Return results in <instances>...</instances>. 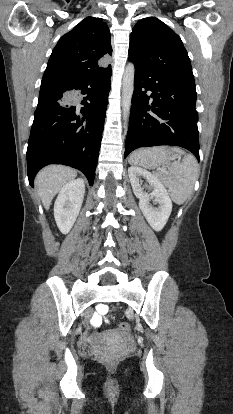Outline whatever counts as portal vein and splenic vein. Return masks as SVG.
<instances>
[{"mask_svg": "<svg viewBox=\"0 0 233 414\" xmlns=\"http://www.w3.org/2000/svg\"><path fill=\"white\" fill-rule=\"evenodd\" d=\"M161 171H162V172H165V170H164V169H161Z\"/></svg>", "mask_w": 233, "mask_h": 414, "instance_id": "18ae733b", "label": "portal vein and splenic vein"}]
</instances>
